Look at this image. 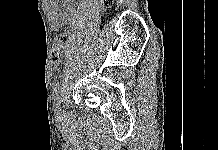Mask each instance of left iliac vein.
Segmentation results:
<instances>
[{
    "instance_id": "obj_1",
    "label": "left iliac vein",
    "mask_w": 218,
    "mask_h": 150,
    "mask_svg": "<svg viewBox=\"0 0 218 150\" xmlns=\"http://www.w3.org/2000/svg\"><path fill=\"white\" fill-rule=\"evenodd\" d=\"M55 114L57 116H60L62 114V109L60 107V104L55 107Z\"/></svg>"
}]
</instances>
